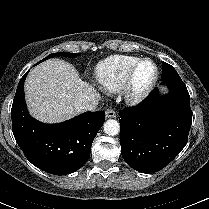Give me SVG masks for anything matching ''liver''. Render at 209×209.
I'll use <instances>...</instances> for the list:
<instances>
[{"label":"liver","instance_id":"6515ba94","mask_svg":"<svg viewBox=\"0 0 209 209\" xmlns=\"http://www.w3.org/2000/svg\"><path fill=\"white\" fill-rule=\"evenodd\" d=\"M25 96L32 117L44 123H60L80 114L78 107L99 94L80 79L70 63L53 58L29 72Z\"/></svg>","mask_w":209,"mask_h":209}]
</instances>
